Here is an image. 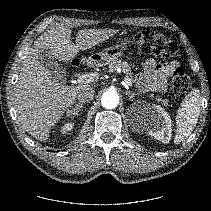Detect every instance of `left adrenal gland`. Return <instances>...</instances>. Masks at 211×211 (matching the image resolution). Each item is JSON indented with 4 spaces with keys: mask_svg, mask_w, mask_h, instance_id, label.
Returning <instances> with one entry per match:
<instances>
[{
    "mask_svg": "<svg viewBox=\"0 0 211 211\" xmlns=\"http://www.w3.org/2000/svg\"><path fill=\"white\" fill-rule=\"evenodd\" d=\"M125 94L128 95L129 100L133 101L134 97H135L136 95H139L140 93H133V92H131V91H126Z\"/></svg>",
    "mask_w": 211,
    "mask_h": 211,
    "instance_id": "a2214340",
    "label": "left adrenal gland"
}]
</instances>
